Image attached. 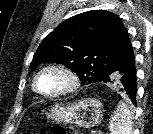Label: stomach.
Wrapping results in <instances>:
<instances>
[{
    "label": "stomach",
    "instance_id": "obj_1",
    "mask_svg": "<svg viewBox=\"0 0 153 134\" xmlns=\"http://www.w3.org/2000/svg\"><path fill=\"white\" fill-rule=\"evenodd\" d=\"M104 110L101 102L84 99L70 105H55L47 112L48 119L56 123L74 124L81 128H92L100 123Z\"/></svg>",
    "mask_w": 153,
    "mask_h": 134
}]
</instances>
